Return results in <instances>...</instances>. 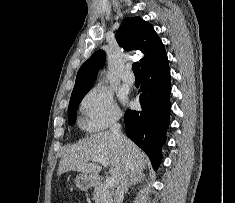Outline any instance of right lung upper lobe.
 I'll return each instance as SVG.
<instances>
[{
  "label": "right lung upper lobe",
  "mask_w": 235,
  "mask_h": 203,
  "mask_svg": "<svg viewBox=\"0 0 235 203\" xmlns=\"http://www.w3.org/2000/svg\"><path fill=\"white\" fill-rule=\"evenodd\" d=\"M116 40L124 50H139L144 54L140 60L141 70L166 56L165 47L153 26L140 17L125 18L116 33ZM104 62L103 50L93 53L78 70L72 94L91 87Z\"/></svg>",
  "instance_id": "1"
}]
</instances>
